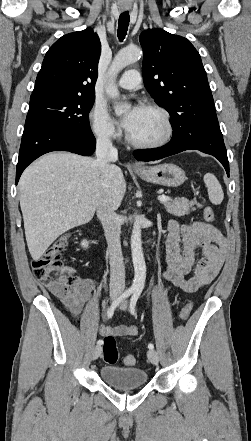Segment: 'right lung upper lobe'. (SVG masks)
I'll list each match as a JSON object with an SVG mask.
<instances>
[{"instance_id": "1", "label": "right lung upper lobe", "mask_w": 251, "mask_h": 441, "mask_svg": "<svg viewBox=\"0 0 251 441\" xmlns=\"http://www.w3.org/2000/svg\"><path fill=\"white\" fill-rule=\"evenodd\" d=\"M99 37L90 28L62 36L47 51L30 101L55 96H95Z\"/></svg>"}]
</instances>
